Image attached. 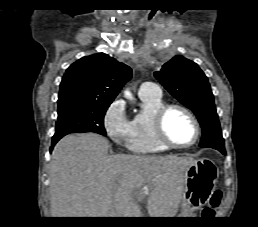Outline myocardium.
<instances>
[{
    "mask_svg": "<svg viewBox=\"0 0 258 227\" xmlns=\"http://www.w3.org/2000/svg\"><path fill=\"white\" fill-rule=\"evenodd\" d=\"M172 110L182 111L192 121L194 129H195V136H194V139L190 143L178 144V143L174 142L167 135V133L165 131V119H166L167 115L169 114V112ZM153 127H154V132H155L157 140L161 144H163L167 147H171V148H178V149L190 148L198 142V140L200 138V134H201L200 124H199V121L196 118V116L188 108H186L182 105H179V104H166V105H163L162 107H160L154 114Z\"/></svg>",
    "mask_w": 258,
    "mask_h": 227,
    "instance_id": "myocardium-1",
    "label": "myocardium"
}]
</instances>
